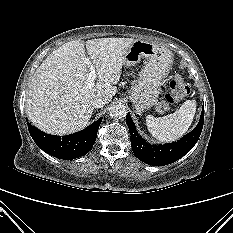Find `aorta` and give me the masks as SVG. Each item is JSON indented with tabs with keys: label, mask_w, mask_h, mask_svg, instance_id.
Returning a JSON list of instances; mask_svg holds the SVG:
<instances>
[{
	"label": "aorta",
	"mask_w": 233,
	"mask_h": 233,
	"mask_svg": "<svg viewBox=\"0 0 233 233\" xmlns=\"http://www.w3.org/2000/svg\"><path fill=\"white\" fill-rule=\"evenodd\" d=\"M110 116L113 117V118H116V119H120V118H123L126 116L127 114V110L125 108L124 105H113L111 108H110Z\"/></svg>",
	"instance_id": "aorta-1"
}]
</instances>
